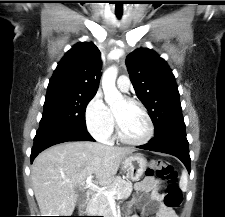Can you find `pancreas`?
<instances>
[{
	"label": "pancreas",
	"mask_w": 225,
	"mask_h": 217,
	"mask_svg": "<svg viewBox=\"0 0 225 217\" xmlns=\"http://www.w3.org/2000/svg\"><path fill=\"white\" fill-rule=\"evenodd\" d=\"M107 191H116L114 198L125 199L128 198L132 192V183L128 180L117 176L112 183H110ZM88 211L93 214L104 217H113L110 209L109 200L103 193L95 194L88 204Z\"/></svg>",
	"instance_id": "1"
}]
</instances>
